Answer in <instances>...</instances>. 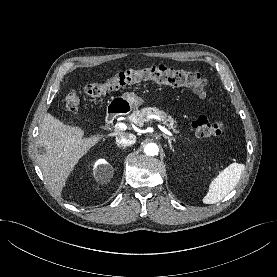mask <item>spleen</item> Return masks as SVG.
<instances>
[{"mask_svg":"<svg viewBox=\"0 0 277 277\" xmlns=\"http://www.w3.org/2000/svg\"><path fill=\"white\" fill-rule=\"evenodd\" d=\"M244 164L232 163L212 180L209 190L203 198L205 204H214L222 200L239 182L244 171Z\"/></svg>","mask_w":277,"mask_h":277,"instance_id":"3e777b00","label":"spleen"}]
</instances>
